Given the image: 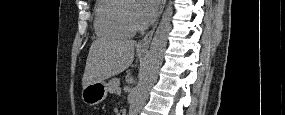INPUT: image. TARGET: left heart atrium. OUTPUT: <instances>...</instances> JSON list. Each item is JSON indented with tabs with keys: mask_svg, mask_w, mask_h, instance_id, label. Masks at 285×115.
Masks as SVG:
<instances>
[{
	"mask_svg": "<svg viewBox=\"0 0 285 115\" xmlns=\"http://www.w3.org/2000/svg\"><path fill=\"white\" fill-rule=\"evenodd\" d=\"M159 0H139L137 19L141 25L150 23L157 14Z\"/></svg>",
	"mask_w": 285,
	"mask_h": 115,
	"instance_id": "39dd6f15",
	"label": "left heart atrium"
}]
</instances>
